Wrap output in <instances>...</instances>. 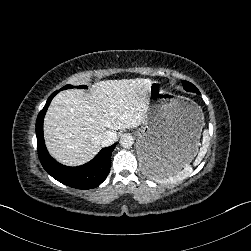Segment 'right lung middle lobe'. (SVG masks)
I'll return each mask as SVG.
<instances>
[{
    "instance_id": "dd1d6c3e",
    "label": "right lung middle lobe",
    "mask_w": 251,
    "mask_h": 251,
    "mask_svg": "<svg viewBox=\"0 0 251 251\" xmlns=\"http://www.w3.org/2000/svg\"><path fill=\"white\" fill-rule=\"evenodd\" d=\"M69 88H73V86H71V85H66V86H64L63 88H61L60 90H64V89H69ZM76 88H87V86H85V85H82V86H77Z\"/></svg>"
}]
</instances>
